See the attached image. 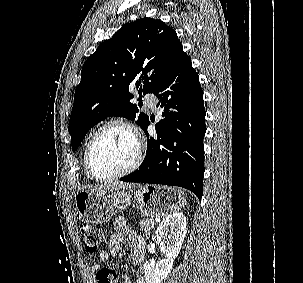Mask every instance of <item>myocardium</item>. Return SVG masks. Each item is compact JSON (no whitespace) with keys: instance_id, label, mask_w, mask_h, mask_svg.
<instances>
[{"instance_id":"1","label":"myocardium","mask_w":303,"mask_h":283,"mask_svg":"<svg viewBox=\"0 0 303 283\" xmlns=\"http://www.w3.org/2000/svg\"><path fill=\"white\" fill-rule=\"evenodd\" d=\"M112 126L123 127L131 133V135L133 136L135 143H136V154H135L133 161L125 169H123L117 173L108 175V176H99L94 171L92 163H91L92 149H93V146H94L97 138L99 137V135L104 130H106L107 128L112 127ZM144 156H145V143H144V140H143L140 132L138 131V129L134 125H132L131 123H129L125 120L111 119V120L105 122L103 125H101L91 136L90 140L87 143L86 149H85L84 163H85V167H86V170H87L89 176L93 180L104 182V181H111V180L119 179V178H122V177L132 173L141 165V163L144 159Z\"/></svg>"}]
</instances>
